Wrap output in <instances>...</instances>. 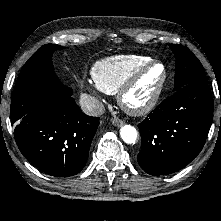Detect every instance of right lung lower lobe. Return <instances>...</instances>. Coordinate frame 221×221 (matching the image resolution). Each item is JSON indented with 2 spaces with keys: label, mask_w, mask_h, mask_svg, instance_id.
<instances>
[{
  "label": "right lung lower lobe",
  "mask_w": 221,
  "mask_h": 221,
  "mask_svg": "<svg viewBox=\"0 0 221 221\" xmlns=\"http://www.w3.org/2000/svg\"><path fill=\"white\" fill-rule=\"evenodd\" d=\"M72 89L44 83L12 97L11 122L21 153L48 175L79 173L88 158L98 117L84 114L72 98Z\"/></svg>",
  "instance_id": "right-lung-lower-lobe-1"
}]
</instances>
